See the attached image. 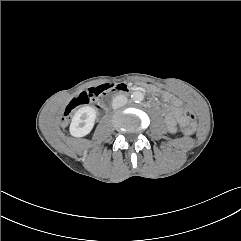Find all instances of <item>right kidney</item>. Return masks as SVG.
<instances>
[{
  "label": "right kidney",
  "instance_id": "ca27d5eb",
  "mask_svg": "<svg viewBox=\"0 0 241 241\" xmlns=\"http://www.w3.org/2000/svg\"><path fill=\"white\" fill-rule=\"evenodd\" d=\"M96 111L90 106L78 109L70 124V134L74 137H84L88 135L94 127Z\"/></svg>",
  "mask_w": 241,
  "mask_h": 241
}]
</instances>
